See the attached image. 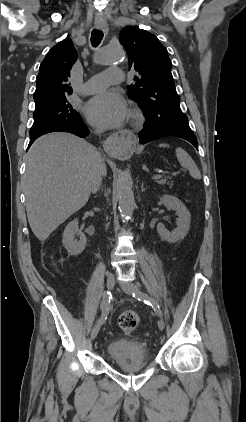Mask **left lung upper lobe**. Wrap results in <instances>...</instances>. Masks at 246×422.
I'll list each match as a JSON object with an SVG mask.
<instances>
[{"label":"left lung upper lobe","instance_id":"1","mask_svg":"<svg viewBox=\"0 0 246 422\" xmlns=\"http://www.w3.org/2000/svg\"><path fill=\"white\" fill-rule=\"evenodd\" d=\"M119 41L127 52L129 69L139 74L127 89L129 98L145 112V126L188 123L179 105L167 49L157 37L137 27H126Z\"/></svg>","mask_w":246,"mask_h":422}]
</instances>
